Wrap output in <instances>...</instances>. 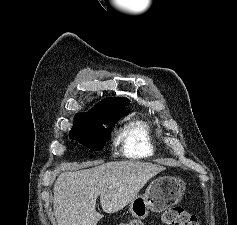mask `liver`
Wrapping results in <instances>:
<instances>
[{
  "label": "liver",
  "instance_id": "obj_1",
  "mask_svg": "<svg viewBox=\"0 0 237 225\" xmlns=\"http://www.w3.org/2000/svg\"><path fill=\"white\" fill-rule=\"evenodd\" d=\"M164 170L156 164L122 161L61 173L54 184L53 200L58 225H97L103 217L96 211L98 196L105 213H116Z\"/></svg>",
  "mask_w": 237,
  "mask_h": 225
}]
</instances>
